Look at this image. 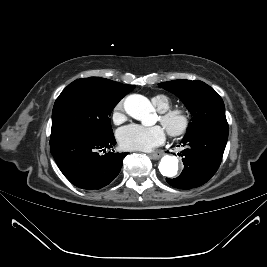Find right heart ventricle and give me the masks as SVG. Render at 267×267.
Segmentation results:
<instances>
[{"label": "right heart ventricle", "mask_w": 267, "mask_h": 267, "mask_svg": "<svg viewBox=\"0 0 267 267\" xmlns=\"http://www.w3.org/2000/svg\"><path fill=\"white\" fill-rule=\"evenodd\" d=\"M153 104L161 112L168 110L171 107L170 100L164 95H156L152 98Z\"/></svg>", "instance_id": "1"}]
</instances>
